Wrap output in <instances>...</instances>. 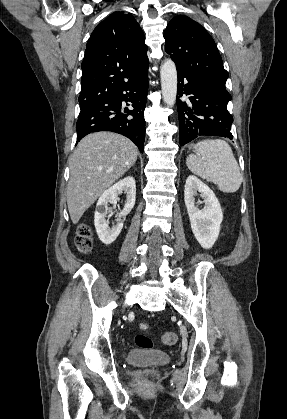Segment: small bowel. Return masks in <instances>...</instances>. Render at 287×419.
Segmentation results:
<instances>
[{
  "instance_id": "c3829d8e",
  "label": "small bowel",
  "mask_w": 287,
  "mask_h": 419,
  "mask_svg": "<svg viewBox=\"0 0 287 419\" xmlns=\"http://www.w3.org/2000/svg\"><path fill=\"white\" fill-rule=\"evenodd\" d=\"M142 328H145V325H142Z\"/></svg>"
}]
</instances>
